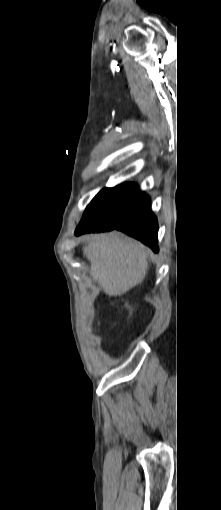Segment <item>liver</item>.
<instances>
[{"label":"liver","mask_w":221,"mask_h":510,"mask_svg":"<svg viewBox=\"0 0 221 510\" xmlns=\"http://www.w3.org/2000/svg\"><path fill=\"white\" fill-rule=\"evenodd\" d=\"M149 253L143 244L117 232L92 235L83 247L90 277L109 296H120L143 282Z\"/></svg>","instance_id":"1"}]
</instances>
